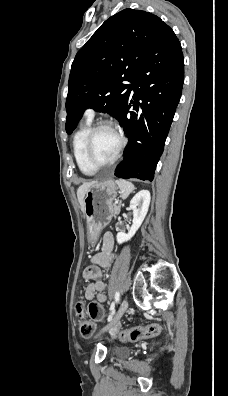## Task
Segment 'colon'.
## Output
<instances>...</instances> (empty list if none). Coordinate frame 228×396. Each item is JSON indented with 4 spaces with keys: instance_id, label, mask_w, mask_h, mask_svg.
I'll return each instance as SVG.
<instances>
[{
    "instance_id": "colon-1",
    "label": "colon",
    "mask_w": 228,
    "mask_h": 396,
    "mask_svg": "<svg viewBox=\"0 0 228 396\" xmlns=\"http://www.w3.org/2000/svg\"><path fill=\"white\" fill-rule=\"evenodd\" d=\"M87 311L91 320L99 321L103 318V309L98 303H90ZM77 313L81 319L79 327L80 333L84 338H88L94 332V325L91 320L84 318V307L82 303L77 304ZM159 331L160 327L158 324L137 326L131 329L120 331L119 338L122 341H137L142 338L155 336L159 333Z\"/></svg>"
}]
</instances>
